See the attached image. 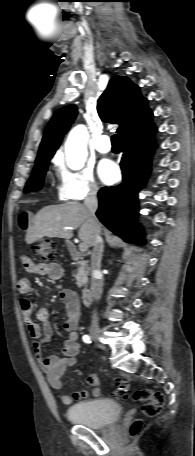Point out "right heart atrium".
<instances>
[{
	"label": "right heart atrium",
	"instance_id": "1",
	"mask_svg": "<svg viewBox=\"0 0 195 456\" xmlns=\"http://www.w3.org/2000/svg\"><path fill=\"white\" fill-rule=\"evenodd\" d=\"M57 166V195L60 200L80 201L98 193L99 187L91 170H70L60 161L57 162Z\"/></svg>",
	"mask_w": 195,
	"mask_h": 456
}]
</instances>
